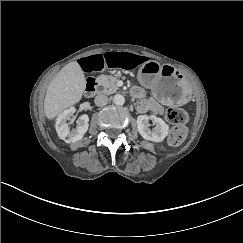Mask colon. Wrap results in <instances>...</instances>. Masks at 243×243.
<instances>
[{
    "mask_svg": "<svg viewBox=\"0 0 243 243\" xmlns=\"http://www.w3.org/2000/svg\"><path fill=\"white\" fill-rule=\"evenodd\" d=\"M166 117L173 125L168 137L169 144L173 146L181 144L187 136V113L180 108H169L166 111Z\"/></svg>",
    "mask_w": 243,
    "mask_h": 243,
    "instance_id": "1",
    "label": "colon"
}]
</instances>
